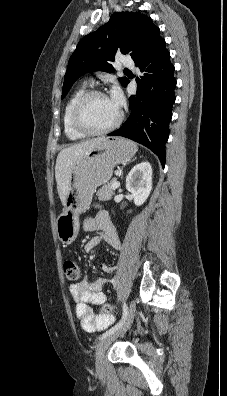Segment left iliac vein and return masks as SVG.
Returning a JSON list of instances; mask_svg holds the SVG:
<instances>
[{
  "label": "left iliac vein",
  "instance_id": "4c4485c4",
  "mask_svg": "<svg viewBox=\"0 0 227 396\" xmlns=\"http://www.w3.org/2000/svg\"><path fill=\"white\" fill-rule=\"evenodd\" d=\"M134 315H135V302L131 301L128 314L123 325L118 330L106 336L99 342L96 350V369L98 373H102L105 370L104 356L107 348L116 338L124 334L130 328L134 319Z\"/></svg>",
  "mask_w": 227,
  "mask_h": 396
}]
</instances>
